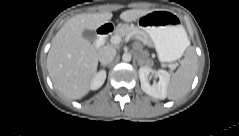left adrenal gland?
<instances>
[{"label": "left adrenal gland", "mask_w": 239, "mask_h": 136, "mask_svg": "<svg viewBox=\"0 0 239 136\" xmlns=\"http://www.w3.org/2000/svg\"><path fill=\"white\" fill-rule=\"evenodd\" d=\"M142 62H143V61L141 60V58H139V59H138V64L142 66Z\"/></svg>", "instance_id": "obj_1"}]
</instances>
